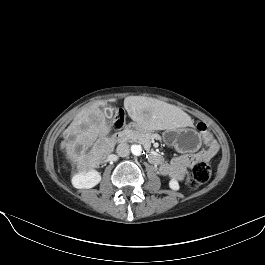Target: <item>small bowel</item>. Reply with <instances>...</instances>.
Wrapping results in <instances>:
<instances>
[{
    "label": "small bowel",
    "mask_w": 265,
    "mask_h": 265,
    "mask_svg": "<svg viewBox=\"0 0 265 265\" xmlns=\"http://www.w3.org/2000/svg\"><path fill=\"white\" fill-rule=\"evenodd\" d=\"M207 148L195 153L178 155L168 162L159 165V172L163 176H169L175 180H182L188 168L198 162L208 161L219 151V146L215 140L207 142Z\"/></svg>",
    "instance_id": "1"
}]
</instances>
